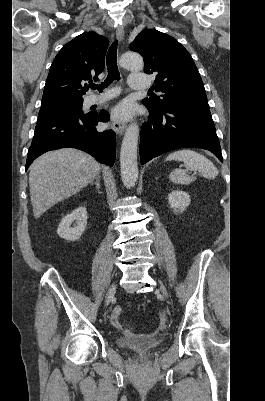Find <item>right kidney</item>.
Here are the masks:
<instances>
[{"instance_id": "obj_1", "label": "right kidney", "mask_w": 265, "mask_h": 401, "mask_svg": "<svg viewBox=\"0 0 265 401\" xmlns=\"http://www.w3.org/2000/svg\"><path fill=\"white\" fill-rule=\"evenodd\" d=\"M87 219L86 207H78V209L72 211L70 215H66V217L62 219L57 229V235H59L61 239H66V241H76V239H80L87 227ZM74 221H76L77 225L71 227Z\"/></svg>"}]
</instances>
